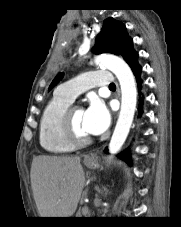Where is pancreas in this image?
Listing matches in <instances>:
<instances>
[{"label": "pancreas", "instance_id": "cf45deb5", "mask_svg": "<svg viewBox=\"0 0 181 227\" xmlns=\"http://www.w3.org/2000/svg\"><path fill=\"white\" fill-rule=\"evenodd\" d=\"M87 210L85 208H82L78 211V217H82V214L86 213Z\"/></svg>", "mask_w": 181, "mask_h": 227}]
</instances>
